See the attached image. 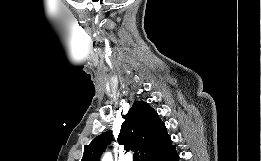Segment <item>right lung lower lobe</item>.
<instances>
[{
	"mask_svg": "<svg viewBox=\"0 0 261 161\" xmlns=\"http://www.w3.org/2000/svg\"><path fill=\"white\" fill-rule=\"evenodd\" d=\"M143 161H179V156L175 150V145L169 143L149 154Z\"/></svg>",
	"mask_w": 261,
	"mask_h": 161,
	"instance_id": "right-lung-lower-lobe-1",
	"label": "right lung lower lobe"
}]
</instances>
